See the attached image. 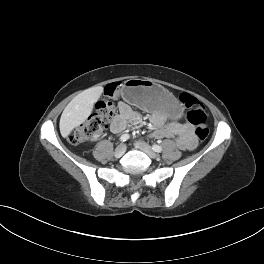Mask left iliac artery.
<instances>
[{"label": "left iliac artery", "instance_id": "obj_1", "mask_svg": "<svg viewBox=\"0 0 264 264\" xmlns=\"http://www.w3.org/2000/svg\"><path fill=\"white\" fill-rule=\"evenodd\" d=\"M152 149L155 151V152H161L162 151V147L159 146V145H152Z\"/></svg>", "mask_w": 264, "mask_h": 264}]
</instances>
